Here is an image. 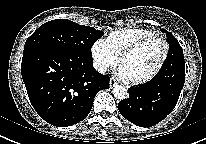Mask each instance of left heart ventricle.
<instances>
[{
    "mask_svg": "<svg viewBox=\"0 0 206 144\" xmlns=\"http://www.w3.org/2000/svg\"><path fill=\"white\" fill-rule=\"evenodd\" d=\"M163 44L152 40L137 52L126 57L121 66L127 71L130 79H140L149 75L158 65L163 55Z\"/></svg>",
    "mask_w": 206,
    "mask_h": 144,
    "instance_id": "1",
    "label": "left heart ventricle"
}]
</instances>
